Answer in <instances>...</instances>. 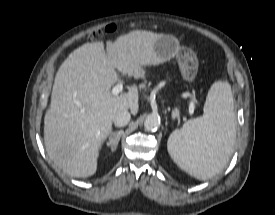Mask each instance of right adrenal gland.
<instances>
[{
	"mask_svg": "<svg viewBox=\"0 0 275 215\" xmlns=\"http://www.w3.org/2000/svg\"><path fill=\"white\" fill-rule=\"evenodd\" d=\"M123 133L124 131L122 129L118 132H112V136L109 138V141L107 142V146L111 147V151L116 150Z\"/></svg>",
	"mask_w": 275,
	"mask_h": 215,
	"instance_id": "2a0ac1e0",
	"label": "right adrenal gland"
}]
</instances>
